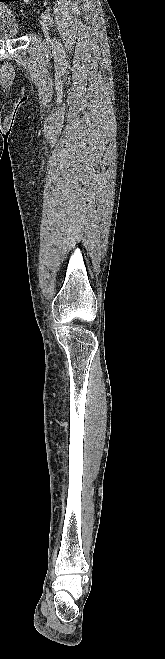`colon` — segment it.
Wrapping results in <instances>:
<instances>
[{
  "instance_id": "obj_1",
  "label": "colon",
  "mask_w": 165,
  "mask_h": 659,
  "mask_svg": "<svg viewBox=\"0 0 165 659\" xmlns=\"http://www.w3.org/2000/svg\"><path fill=\"white\" fill-rule=\"evenodd\" d=\"M24 1L29 2V1H31V0H24Z\"/></svg>"
}]
</instances>
